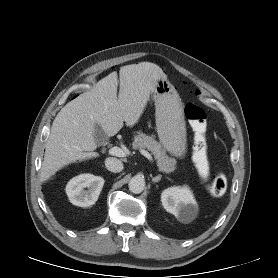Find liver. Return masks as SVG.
I'll return each mask as SVG.
<instances>
[{"label": "liver", "mask_w": 278, "mask_h": 278, "mask_svg": "<svg viewBox=\"0 0 278 278\" xmlns=\"http://www.w3.org/2000/svg\"><path fill=\"white\" fill-rule=\"evenodd\" d=\"M158 77H166L153 63L123 66L118 75L110 73L91 90L66 104L57 114L46 143L40 179L48 180L58 170L76 162L99 157L95 125L106 136L116 135L123 127L134 126L142 116Z\"/></svg>", "instance_id": "liver-1"}]
</instances>
